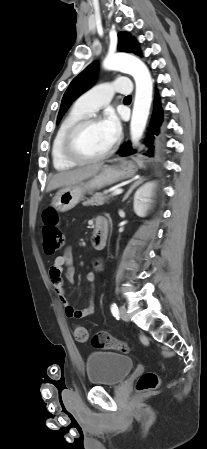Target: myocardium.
<instances>
[{
  "mask_svg": "<svg viewBox=\"0 0 207 449\" xmlns=\"http://www.w3.org/2000/svg\"><path fill=\"white\" fill-rule=\"evenodd\" d=\"M97 123H100V120L97 117L86 116L77 120L67 129L61 145L62 153L67 160L74 163H93L104 160L109 155H111L115 148L114 143H112V145L106 151L96 156L84 155L75 147V138L79 131L86 126Z\"/></svg>",
  "mask_w": 207,
  "mask_h": 449,
  "instance_id": "myocardium-1",
  "label": "myocardium"
}]
</instances>
